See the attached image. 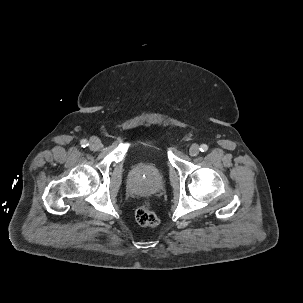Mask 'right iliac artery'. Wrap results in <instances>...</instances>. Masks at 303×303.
Returning <instances> with one entry per match:
<instances>
[{
	"label": "right iliac artery",
	"mask_w": 303,
	"mask_h": 303,
	"mask_svg": "<svg viewBox=\"0 0 303 303\" xmlns=\"http://www.w3.org/2000/svg\"><path fill=\"white\" fill-rule=\"evenodd\" d=\"M80 144H81L82 147H87L88 146V141L83 139V140H81Z\"/></svg>",
	"instance_id": "obj_1"
}]
</instances>
